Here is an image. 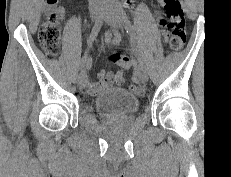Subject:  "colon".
Returning a JSON list of instances; mask_svg holds the SVG:
<instances>
[{
	"label": "colon",
	"mask_w": 231,
	"mask_h": 177,
	"mask_svg": "<svg viewBox=\"0 0 231 177\" xmlns=\"http://www.w3.org/2000/svg\"><path fill=\"white\" fill-rule=\"evenodd\" d=\"M57 0H47L48 4H54ZM166 18H161L159 23L164 26L165 35L169 42V47L172 53L179 51L186 42V29L181 3L179 0H161ZM39 42L45 54L50 57H56L60 46V27L56 14L51 13L43 21L39 30ZM111 60L114 62H127L130 59L124 54L116 52L111 55ZM132 91L137 90V87L132 85Z\"/></svg>",
	"instance_id": "5ec220e1"
}]
</instances>
